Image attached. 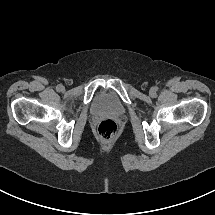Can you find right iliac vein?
I'll return each instance as SVG.
<instances>
[{"label":"right iliac vein","instance_id":"63e3f726","mask_svg":"<svg viewBox=\"0 0 215 215\" xmlns=\"http://www.w3.org/2000/svg\"><path fill=\"white\" fill-rule=\"evenodd\" d=\"M63 90H64V86L62 85V86H61V91H63Z\"/></svg>","mask_w":215,"mask_h":215}]
</instances>
